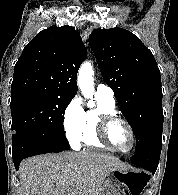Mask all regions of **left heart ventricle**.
<instances>
[{
    "label": "left heart ventricle",
    "instance_id": "b2bd125f",
    "mask_svg": "<svg viewBox=\"0 0 178 195\" xmlns=\"http://www.w3.org/2000/svg\"><path fill=\"white\" fill-rule=\"evenodd\" d=\"M109 140L111 144L121 150L130 148L132 140L127 128L121 124H113L109 130Z\"/></svg>",
    "mask_w": 178,
    "mask_h": 195
}]
</instances>
